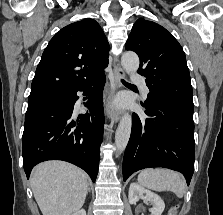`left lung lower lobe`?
<instances>
[{"label": "left lung lower lobe", "mask_w": 223, "mask_h": 215, "mask_svg": "<svg viewBox=\"0 0 223 215\" xmlns=\"http://www.w3.org/2000/svg\"><path fill=\"white\" fill-rule=\"evenodd\" d=\"M145 109V120L132 115L123 180L147 167H165L181 172L189 185L195 160L194 106L149 93Z\"/></svg>", "instance_id": "left-lung-lower-lobe-1"}]
</instances>
